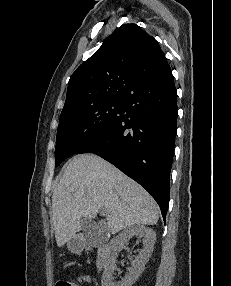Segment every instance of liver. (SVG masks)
<instances>
[{
  "label": "liver",
  "mask_w": 231,
  "mask_h": 286,
  "mask_svg": "<svg viewBox=\"0 0 231 286\" xmlns=\"http://www.w3.org/2000/svg\"><path fill=\"white\" fill-rule=\"evenodd\" d=\"M106 209L112 234L134 225H155L159 208L133 179L94 154H79L66 164L52 196V221L58 247L76 237L81 218Z\"/></svg>",
  "instance_id": "6515ba94"
}]
</instances>
